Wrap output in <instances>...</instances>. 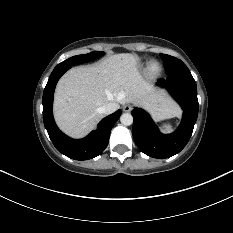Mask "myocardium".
Listing matches in <instances>:
<instances>
[{
	"label": "myocardium",
	"instance_id": "f54148a6",
	"mask_svg": "<svg viewBox=\"0 0 233 233\" xmlns=\"http://www.w3.org/2000/svg\"><path fill=\"white\" fill-rule=\"evenodd\" d=\"M148 73L151 75H157L161 71V65L157 61H151L148 64Z\"/></svg>",
	"mask_w": 233,
	"mask_h": 233
}]
</instances>
